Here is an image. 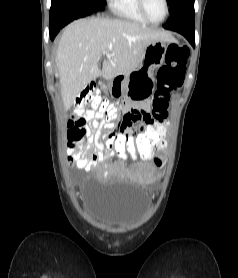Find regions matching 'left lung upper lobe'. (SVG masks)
Wrapping results in <instances>:
<instances>
[{
	"instance_id": "5c2ea615",
	"label": "left lung upper lobe",
	"mask_w": 238,
	"mask_h": 278,
	"mask_svg": "<svg viewBox=\"0 0 238 278\" xmlns=\"http://www.w3.org/2000/svg\"><path fill=\"white\" fill-rule=\"evenodd\" d=\"M185 0H169L170 4V12L171 14L175 11V9Z\"/></svg>"
}]
</instances>
